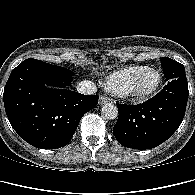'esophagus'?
Masks as SVG:
<instances>
[{
    "mask_svg": "<svg viewBox=\"0 0 195 195\" xmlns=\"http://www.w3.org/2000/svg\"><path fill=\"white\" fill-rule=\"evenodd\" d=\"M111 101V99L110 98H108L107 96H105V95H101L100 97H99V104H106V103H108V102H110Z\"/></svg>",
    "mask_w": 195,
    "mask_h": 195,
    "instance_id": "obj_1",
    "label": "esophagus"
}]
</instances>
